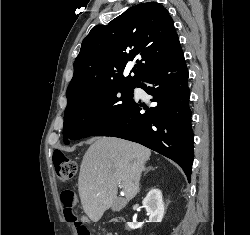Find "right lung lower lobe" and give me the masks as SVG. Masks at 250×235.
<instances>
[{"label": "right lung lower lobe", "instance_id": "1", "mask_svg": "<svg viewBox=\"0 0 250 235\" xmlns=\"http://www.w3.org/2000/svg\"><path fill=\"white\" fill-rule=\"evenodd\" d=\"M136 87L153 96L148 109L132 99L129 105L93 136H113L140 143L178 163L188 180L193 163V132L188 106V70L179 40L170 55ZM143 110H146L143 112Z\"/></svg>", "mask_w": 250, "mask_h": 235}]
</instances>
